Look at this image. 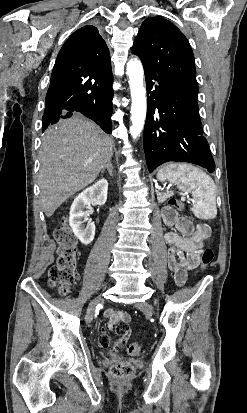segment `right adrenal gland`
<instances>
[{"mask_svg":"<svg viewBox=\"0 0 247 413\" xmlns=\"http://www.w3.org/2000/svg\"><path fill=\"white\" fill-rule=\"evenodd\" d=\"M104 170H108L110 176H113V164L111 160H108L107 164H105L104 168H102L101 172H104Z\"/></svg>","mask_w":247,"mask_h":413,"instance_id":"1","label":"right adrenal gland"}]
</instances>
